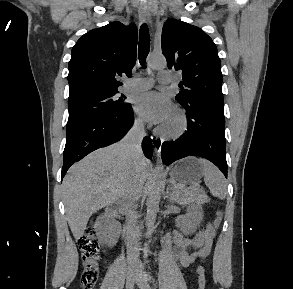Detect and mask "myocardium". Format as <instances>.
I'll list each match as a JSON object with an SVG mask.
<instances>
[{
    "mask_svg": "<svg viewBox=\"0 0 293 289\" xmlns=\"http://www.w3.org/2000/svg\"><path fill=\"white\" fill-rule=\"evenodd\" d=\"M172 114L177 119V125L171 129L162 125L158 128L157 133L162 138L174 140L182 137L188 130V118L185 111L181 108L174 109Z\"/></svg>",
    "mask_w": 293,
    "mask_h": 289,
    "instance_id": "obj_1",
    "label": "myocardium"
}]
</instances>
